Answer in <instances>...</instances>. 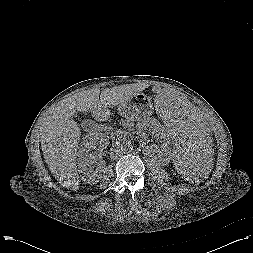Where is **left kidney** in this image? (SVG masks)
I'll use <instances>...</instances> for the list:
<instances>
[{
    "label": "left kidney",
    "instance_id": "5707ae66",
    "mask_svg": "<svg viewBox=\"0 0 253 253\" xmlns=\"http://www.w3.org/2000/svg\"><path fill=\"white\" fill-rule=\"evenodd\" d=\"M147 130H149L153 135H155L156 137L160 139V142H161V146H160L161 149L159 152L160 156L171 157L172 153L169 147L170 146L169 131L163 125H161L158 122V120L154 118H150L143 121L137 126V134L144 144H145L144 141L146 140ZM146 149H148L151 153H154L157 151L152 146H146Z\"/></svg>",
    "mask_w": 253,
    "mask_h": 253
}]
</instances>
